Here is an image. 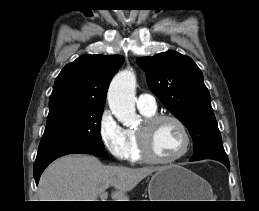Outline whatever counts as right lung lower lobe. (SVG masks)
<instances>
[{"instance_id":"obj_1","label":"right lung lower lobe","mask_w":259,"mask_h":211,"mask_svg":"<svg viewBox=\"0 0 259 211\" xmlns=\"http://www.w3.org/2000/svg\"><path fill=\"white\" fill-rule=\"evenodd\" d=\"M71 153H84L91 154L98 157H108L105 149L90 148L80 145H60L45 150L38 151L36 161L34 163V178L36 184H38L40 175L44 169L56 158L71 154Z\"/></svg>"}]
</instances>
